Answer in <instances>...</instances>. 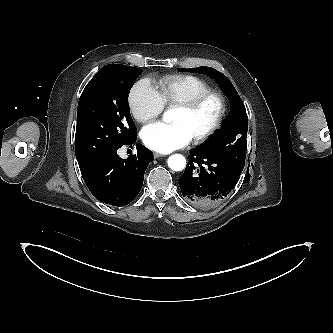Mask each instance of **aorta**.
<instances>
[{"label":"aorta","instance_id":"aorta-1","mask_svg":"<svg viewBox=\"0 0 333 333\" xmlns=\"http://www.w3.org/2000/svg\"><path fill=\"white\" fill-rule=\"evenodd\" d=\"M171 118H172V110H168V111L164 112L163 120L165 122H169L171 120ZM168 166L173 171H182L186 166V159L184 156H182L180 154H174L169 157Z\"/></svg>","mask_w":333,"mask_h":333}]
</instances>
